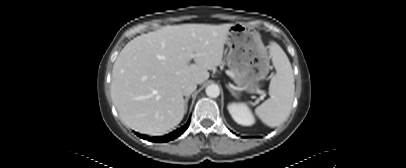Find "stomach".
Returning <instances> with one entry per match:
<instances>
[{"label": "stomach", "mask_w": 406, "mask_h": 168, "mask_svg": "<svg viewBox=\"0 0 406 168\" xmlns=\"http://www.w3.org/2000/svg\"><path fill=\"white\" fill-rule=\"evenodd\" d=\"M226 44L227 64L234 74V82L249 93L259 90V82L270 69V56L259 32L243 23L230 27Z\"/></svg>", "instance_id": "stomach-1"}]
</instances>
